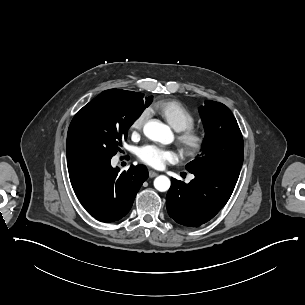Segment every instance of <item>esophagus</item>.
Masks as SVG:
<instances>
[{
    "label": "esophagus",
    "instance_id": "obj_1",
    "mask_svg": "<svg viewBox=\"0 0 305 305\" xmlns=\"http://www.w3.org/2000/svg\"><path fill=\"white\" fill-rule=\"evenodd\" d=\"M158 174L152 170L149 171V178H154L156 177Z\"/></svg>",
    "mask_w": 305,
    "mask_h": 305
}]
</instances>
